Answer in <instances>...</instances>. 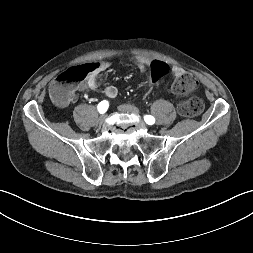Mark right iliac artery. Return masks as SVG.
<instances>
[{"label":"right iliac artery","mask_w":253,"mask_h":253,"mask_svg":"<svg viewBox=\"0 0 253 253\" xmlns=\"http://www.w3.org/2000/svg\"><path fill=\"white\" fill-rule=\"evenodd\" d=\"M108 107H109L108 101L103 100L98 104L97 109H98L99 113L103 114L107 111Z\"/></svg>","instance_id":"obj_1"}]
</instances>
